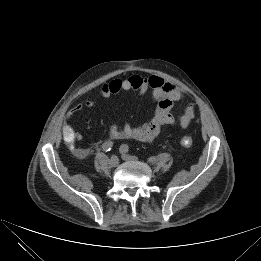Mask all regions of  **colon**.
<instances>
[{
	"label": "colon",
	"mask_w": 261,
	"mask_h": 261,
	"mask_svg": "<svg viewBox=\"0 0 261 261\" xmlns=\"http://www.w3.org/2000/svg\"><path fill=\"white\" fill-rule=\"evenodd\" d=\"M180 143L183 147L188 148L192 145L193 140L190 136L185 135L181 138Z\"/></svg>",
	"instance_id": "5ec220e1"
}]
</instances>
